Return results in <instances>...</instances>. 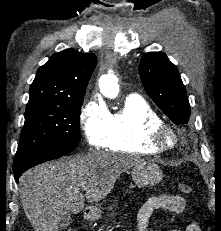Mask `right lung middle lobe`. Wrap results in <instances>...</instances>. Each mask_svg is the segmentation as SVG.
I'll return each mask as SVG.
<instances>
[{"instance_id":"obj_1","label":"right lung middle lobe","mask_w":221,"mask_h":231,"mask_svg":"<svg viewBox=\"0 0 221 231\" xmlns=\"http://www.w3.org/2000/svg\"><path fill=\"white\" fill-rule=\"evenodd\" d=\"M83 98L27 104L14 164L43 149L76 148Z\"/></svg>"}]
</instances>
